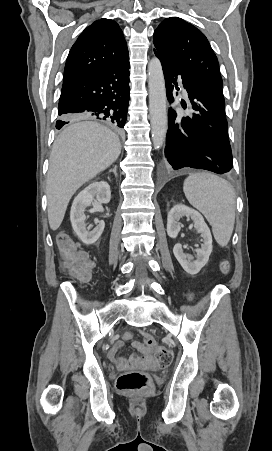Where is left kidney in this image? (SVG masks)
<instances>
[{
    "label": "left kidney",
    "mask_w": 272,
    "mask_h": 451,
    "mask_svg": "<svg viewBox=\"0 0 272 451\" xmlns=\"http://www.w3.org/2000/svg\"><path fill=\"white\" fill-rule=\"evenodd\" d=\"M182 216H186V218L193 220L197 233H201V237H203V243H201V247L194 249V251H196V259H194L193 255L184 253L182 243H175L173 253L179 263H181L183 269H185L187 273H190V275H195L209 259V255L212 251V235L209 227L204 222V218H202L199 212L192 210V208H188V206H183V204H177V206H174V208L170 210L167 218V233L170 237H177L181 229L179 220Z\"/></svg>",
    "instance_id": "left-kidney-1"
}]
</instances>
